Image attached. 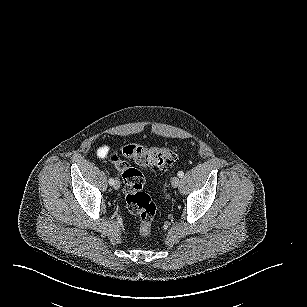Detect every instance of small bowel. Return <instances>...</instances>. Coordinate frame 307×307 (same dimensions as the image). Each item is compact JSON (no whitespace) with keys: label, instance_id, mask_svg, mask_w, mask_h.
I'll return each mask as SVG.
<instances>
[{"label":"small bowel","instance_id":"obj_1","mask_svg":"<svg viewBox=\"0 0 307 307\" xmlns=\"http://www.w3.org/2000/svg\"><path fill=\"white\" fill-rule=\"evenodd\" d=\"M107 153H108V147L107 146H102V147H100L98 149L97 156L100 159H104L106 157Z\"/></svg>","mask_w":307,"mask_h":307}]
</instances>
